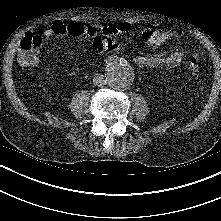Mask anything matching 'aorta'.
I'll list each match as a JSON object with an SVG mask.
<instances>
[{
    "label": "aorta",
    "mask_w": 221,
    "mask_h": 221,
    "mask_svg": "<svg viewBox=\"0 0 221 221\" xmlns=\"http://www.w3.org/2000/svg\"><path fill=\"white\" fill-rule=\"evenodd\" d=\"M105 76L108 85L118 91L129 89L135 78L133 69L124 59H116L108 63Z\"/></svg>",
    "instance_id": "762f6f07"
}]
</instances>
